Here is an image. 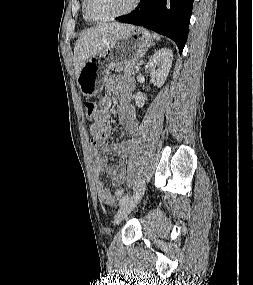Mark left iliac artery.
<instances>
[{"label": "left iliac artery", "mask_w": 253, "mask_h": 285, "mask_svg": "<svg viewBox=\"0 0 253 285\" xmlns=\"http://www.w3.org/2000/svg\"><path fill=\"white\" fill-rule=\"evenodd\" d=\"M130 194L127 193L126 195H124L121 200L119 201V205H123L128 199H129Z\"/></svg>", "instance_id": "left-iliac-artery-1"}]
</instances>
